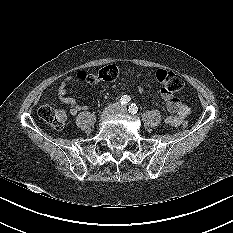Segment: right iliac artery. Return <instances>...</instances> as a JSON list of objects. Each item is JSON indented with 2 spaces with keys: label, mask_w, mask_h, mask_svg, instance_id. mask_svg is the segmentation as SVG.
I'll return each instance as SVG.
<instances>
[{
  "label": "right iliac artery",
  "mask_w": 233,
  "mask_h": 233,
  "mask_svg": "<svg viewBox=\"0 0 233 233\" xmlns=\"http://www.w3.org/2000/svg\"><path fill=\"white\" fill-rule=\"evenodd\" d=\"M129 102H130V96H128V95H124V96H122L121 99H120V103H121L122 105H126V104H128Z\"/></svg>",
  "instance_id": "82829eb1"
}]
</instances>
